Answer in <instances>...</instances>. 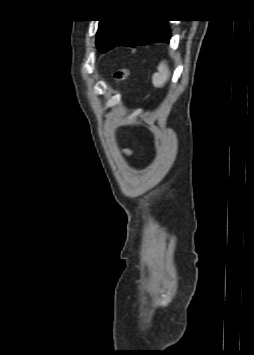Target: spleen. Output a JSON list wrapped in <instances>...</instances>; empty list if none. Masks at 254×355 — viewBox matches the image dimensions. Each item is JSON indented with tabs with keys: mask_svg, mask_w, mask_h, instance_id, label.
<instances>
[{
	"mask_svg": "<svg viewBox=\"0 0 254 355\" xmlns=\"http://www.w3.org/2000/svg\"><path fill=\"white\" fill-rule=\"evenodd\" d=\"M170 77V71L166 61H162L158 66V72L153 74L152 83L156 88L163 87Z\"/></svg>",
	"mask_w": 254,
	"mask_h": 355,
	"instance_id": "spleen-1",
	"label": "spleen"
}]
</instances>
